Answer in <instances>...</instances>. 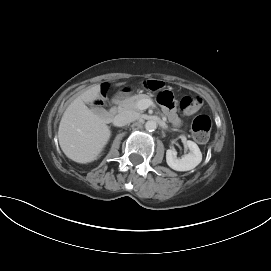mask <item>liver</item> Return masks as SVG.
I'll list each match as a JSON object with an SVG mask.
<instances>
[{
	"label": "liver",
	"instance_id": "6515ba94",
	"mask_svg": "<svg viewBox=\"0 0 271 271\" xmlns=\"http://www.w3.org/2000/svg\"><path fill=\"white\" fill-rule=\"evenodd\" d=\"M100 89V84H97L84 91L71 102L60 121V147L69 159L77 163L96 160L111 136L104 120L86 106L100 97Z\"/></svg>",
	"mask_w": 271,
	"mask_h": 271
}]
</instances>
